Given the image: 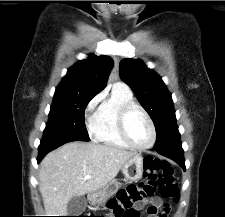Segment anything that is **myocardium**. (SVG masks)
<instances>
[{"label":"myocardium","instance_id":"myocardium-1","mask_svg":"<svg viewBox=\"0 0 225 217\" xmlns=\"http://www.w3.org/2000/svg\"><path fill=\"white\" fill-rule=\"evenodd\" d=\"M134 110H139L142 112V114L147 119L150 129H151V135H152L151 141L147 145H144V146H139V145H136L135 143H133L129 136V133H128V129H127L128 117ZM118 130H119V134H120L122 140L124 141V143L132 149L143 151V150L150 149L155 144L156 128H155L154 122H153L151 116L149 115V113L145 110V108L134 101L128 102V103L122 105L121 108L119 109Z\"/></svg>","mask_w":225,"mask_h":217}]
</instances>
